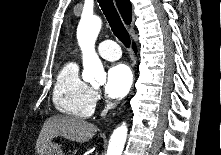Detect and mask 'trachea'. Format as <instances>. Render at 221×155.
<instances>
[{
  "instance_id": "3493384b",
  "label": "trachea",
  "mask_w": 221,
  "mask_h": 155,
  "mask_svg": "<svg viewBox=\"0 0 221 155\" xmlns=\"http://www.w3.org/2000/svg\"><path fill=\"white\" fill-rule=\"evenodd\" d=\"M98 3L109 22L114 35L127 47H130V36L112 0H98Z\"/></svg>"
}]
</instances>
